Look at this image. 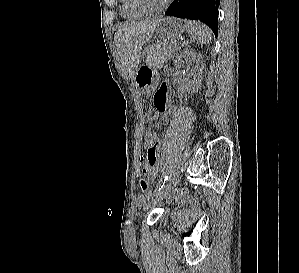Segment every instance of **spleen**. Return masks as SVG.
<instances>
[{"mask_svg": "<svg viewBox=\"0 0 299 273\" xmlns=\"http://www.w3.org/2000/svg\"><path fill=\"white\" fill-rule=\"evenodd\" d=\"M186 30L189 37L197 43L209 44L212 40V32L206 25L197 21H186Z\"/></svg>", "mask_w": 299, "mask_h": 273, "instance_id": "spleen-1", "label": "spleen"}]
</instances>
